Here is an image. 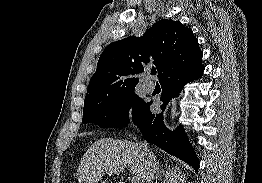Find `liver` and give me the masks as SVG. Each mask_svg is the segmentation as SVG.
Returning <instances> with one entry per match:
<instances>
[{
  "instance_id": "liver-1",
  "label": "liver",
  "mask_w": 262,
  "mask_h": 183,
  "mask_svg": "<svg viewBox=\"0 0 262 183\" xmlns=\"http://www.w3.org/2000/svg\"><path fill=\"white\" fill-rule=\"evenodd\" d=\"M130 166L134 177L145 179L144 159L136 143L128 140L101 138L81 158L77 177L79 183H99L107 174L112 176L124 167Z\"/></svg>"
}]
</instances>
